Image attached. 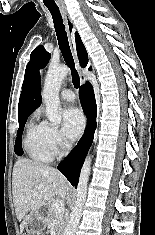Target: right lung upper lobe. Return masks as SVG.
<instances>
[{
	"label": "right lung upper lobe",
	"mask_w": 155,
	"mask_h": 235,
	"mask_svg": "<svg viewBox=\"0 0 155 235\" xmlns=\"http://www.w3.org/2000/svg\"><path fill=\"white\" fill-rule=\"evenodd\" d=\"M75 39L80 65L86 67L88 63L87 52L77 32ZM89 70H91V67ZM41 101L40 74L35 73L23 83L18 105V119L29 116L40 106Z\"/></svg>",
	"instance_id": "obj_1"
}]
</instances>
